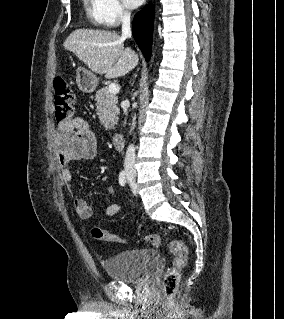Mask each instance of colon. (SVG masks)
Returning <instances> with one entry per match:
<instances>
[{"label":"colon","mask_w":284,"mask_h":319,"mask_svg":"<svg viewBox=\"0 0 284 319\" xmlns=\"http://www.w3.org/2000/svg\"><path fill=\"white\" fill-rule=\"evenodd\" d=\"M54 107L55 118L58 124L72 120L75 110V93L70 84L62 77L54 80ZM97 240L107 242H125V239L111 232L102 231L94 228L91 232ZM143 239L154 247L163 243V237L159 234H150ZM169 248L174 256L172 266L167 270L163 280V292L170 296L177 288L180 279V270L187 263V249L184 244L178 240H170Z\"/></svg>","instance_id":"colon-1"}]
</instances>
